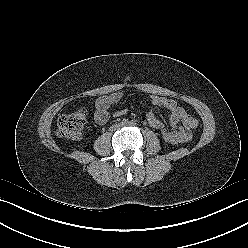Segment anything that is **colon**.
Wrapping results in <instances>:
<instances>
[{
	"mask_svg": "<svg viewBox=\"0 0 248 248\" xmlns=\"http://www.w3.org/2000/svg\"><path fill=\"white\" fill-rule=\"evenodd\" d=\"M86 114L83 110H77L69 114H63L57 121V135L71 140H79L83 137ZM162 139L168 144H178L177 135L168 129H161Z\"/></svg>",
	"mask_w": 248,
	"mask_h": 248,
	"instance_id": "colon-1",
	"label": "colon"
}]
</instances>
